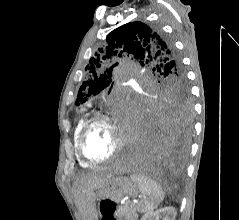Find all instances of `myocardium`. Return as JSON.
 Segmentation results:
<instances>
[{"label": "myocardium", "mask_w": 239, "mask_h": 220, "mask_svg": "<svg viewBox=\"0 0 239 220\" xmlns=\"http://www.w3.org/2000/svg\"><path fill=\"white\" fill-rule=\"evenodd\" d=\"M98 123H108V124L112 125V127L115 129L117 136H118L117 144H116L114 151L108 157L103 158V159L91 158L90 156H88V154L86 153V150H85V140H86L87 134L89 133L91 128L94 127ZM123 144H124L123 135L121 133L120 128L116 124L115 119L111 116H107L104 114H97V115H94L93 117H91L83 125V127L80 131V134H79V138H78V152H79L80 156L82 157V159L84 161H86L87 163H89L91 165H98V164L107 163V162L113 160L116 157V155L120 152V150L122 149Z\"/></svg>", "instance_id": "myocardium-1"}]
</instances>
